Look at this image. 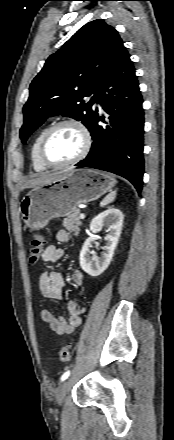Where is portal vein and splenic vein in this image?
<instances>
[{"label":"portal vein and splenic vein","instance_id":"18ae733b","mask_svg":"<svg viewBox=\"0 0 174 440\" xmlns=\"http://www.w3.org/2000/svg\"><path fill=\"white\" fill-rule=\"evenodd\" d=\"M79 218L82 219V220L85 219V214H84V213H81V214L79 215Z\"/></svg>","mask_w":174,"mask_h":440}]
</instances>
